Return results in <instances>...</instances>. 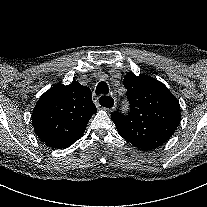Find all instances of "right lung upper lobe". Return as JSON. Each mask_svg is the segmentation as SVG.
Wrapping results in <instances>:
<instances>
[{
    "instance_id": "1",
    "label": "right lung upper lobe",
    "mask_w": 207,
    "mask_h": 207,
    "mask_svg": "<svg viewBox=\"0 0 207 207\" xmlns=\"http://www.w3.org/2000/svg\"><path fill=\"white\" fill-rule=\"evenodd\" d=\"M97 108L92 93L79 82L67 86L58 83L38 100L32 113L37 136L47 146L64 149L76 142Z\"/></svg>"
}]
</instances>
